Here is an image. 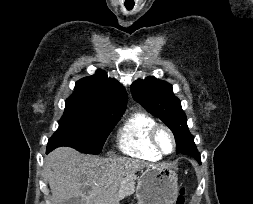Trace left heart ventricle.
Returning <instances> with one entry per match:
<instances>
[{"label":"left heart ventricle","instance_id":"left-heart-ventricle-1","mask_svg":"<svg viewBox=\"0 0 253 204\" xmlns=\"http://www.w3.org/2000/svg\"><path fill=\"white\" fill-rule=\"evenodd\" d=\"M158 141L165 152H170L172 150V140L166 131L162 130L159 132Z\"/></svg>","mask_w":253,"mask_h":204}]
</instances>
